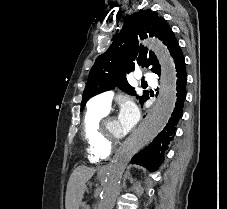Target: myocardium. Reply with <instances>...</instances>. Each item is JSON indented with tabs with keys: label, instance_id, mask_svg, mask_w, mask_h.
Here are the masks:
<instances>
[{
	"label": "myocardium",
	"instance_id": "obj_1",
	"mask_svg": "<svg viewBox=\"0 0 227 209\" xmlns=\"http://www.w3.org/2000/svg\"><path fill=\"white\" fill-rule=\"evenodd\" d=\"M116 119L114 115L107 114L104 118L98 123L97 131L99 140L109 148H114L122 145L125 142V138L111 139L105 133V127L108 122Z\"/></svg>",
	"mask_w": 227,
	"mask_h": 209
}]
</instances>
